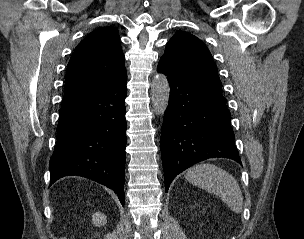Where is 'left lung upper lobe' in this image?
<instances>
[{
	"instance_id": "1",
	"label": "left lung upper lobe",
	"mask_w": 304,
	"mask_h": 239,
	"mask_svg": "<svg viewBox=\"0 0 304 239\" xmlns=\"http://www.w3.org/2000/svg\"><path fill=\"white\" fill-rule=\"evenodd\" d=\"M160 60L189 79L222 92L217 66L206 45L196 36L182 31L176 33Z\"/></svg>"
}]
</instances>
